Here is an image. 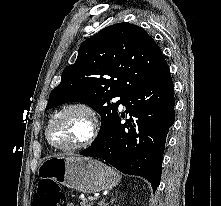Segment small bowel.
I'll list each match as a JSON object with an SVG mask.
<instances>
[{
	"label": "small bowel",
	"mask_w": 221,
	"mask_h": 206,
	"mask_svg": "<svg viewBox=\"0 0 221 206\" xmlns=\"http://www.w3.org/2000/svg\"><path fill=\"white\" fill-rule=\"evenodd\" d=\"M66 206H74V205L71 203H67Z\"/></svg>",
	"instance_id": "1"
}]
</instances>
